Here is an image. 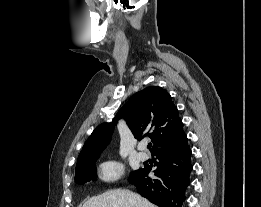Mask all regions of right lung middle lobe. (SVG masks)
Wrapping results in <instances>:
<instances>
[{"label": "right lung middle lobe", "mask_w": 261, "mask_h": 207, "mask_svg": "<svg viewBox=\"0 0 261 207\" xmlns=\"http://www.w3.org/2000/svg\"><path fill=\"white\" fill-rule=\"evenodd\" d=\"M98 157L88 159L82 164L76 166L75 182L78 184H84L87 181L96 179V167L95 161ZM136 171L132 172L135 173Z\"/></svg>", "instance_id": "right-lung-middle-lobe-1"}]
</instances>
